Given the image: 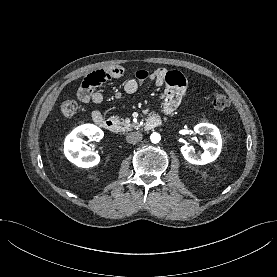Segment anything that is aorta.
I'll return each mask as SVG.
<instances>
[{
	"instance_id": "obj_1",
	"label": "aorta",
	"mask_w": 277,
	"mask_h": 277,
	"mask_svg": "<svg viewBox=\"0 0 277 277\" xmlns=\"http://www.w3.org/2000/svg\"><path fill=\"white\" fill-rule=\"evenodd\" d=\"M150 139L152 143H158L161 140V136L159 133L154 132L151 134Z\"/></svg>"
}]
</instances>
